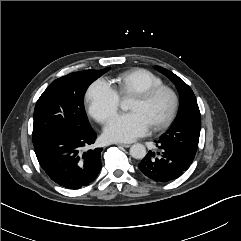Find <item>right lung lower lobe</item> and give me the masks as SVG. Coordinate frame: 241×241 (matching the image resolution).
<instances>
[{
    "label": "right lung lower lobe",
    "instance_id": "1",
    "mask_svg": "<svg viewBox=\"0 0 241 241\" xmlns=\"http://www.w3.org/2000/svg\"><path fill=\"white\" fill-rule=\"evenodd\" d=\"M96 139L92 128L82 132L65 131L34 145L39 164L57 184L68 189L89 185L101 170V148L89 149Z\"/></svg>",
    "mask_w": 241,
    "mask_h": 241
}]
</instances>
